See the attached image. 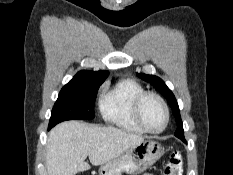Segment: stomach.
<instances>
[{"label":"stomach","mask_w":233,"mask_h":175,"mask_svg":"<svg viewBox=\"0 0 233 175\" xmlns=\"http://www.w3.org/2000/svg\"><path fill=\"white\" fill-rule=\"evenodd\" d=\"M161 144L153 139L129 148L120 157L103 164L99 168V175H137L152 166L163 155Z\"/></svg>","instance_id":"0dacf381"}]
</instances>
